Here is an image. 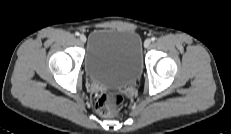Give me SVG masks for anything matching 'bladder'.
Masks as SVG:
<instances>
[{
    "instance_id": "bladder-1",
    "label": "bladder",
    "mask_w": 231,
    "mask_h": 134,
    "mask_svg": "<svg viewBox=\"0 0 231 134\" xmlns=\"http://www.w3.org/2000/svg\"><path fill=\"white\" fill-rule=\"evenodd\" d=\"M142 67V41L136 32L102 28L89 34L84 68L92 82L125 87L139 78Z\"/></svg>"
}]
</instances>
